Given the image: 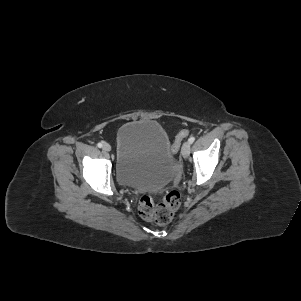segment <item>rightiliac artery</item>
Instances as JSON below:
<instances>
[{"instance_id":"82829eb1","label":"right iliac artery","mask_w":301,"mask_h":301,"mask_svg":"<svg viewBox=\"0 0 301 301\" xmlns=\"http://www.w3.org/2000/svg\"><path fill=\"white\" fill-rule=\"evenodd\" d=\"M97 146H98L99 148H101V147L103 146V144H102L101 142H99V143L97 144Z\"/></svg>"}]
</instances>
